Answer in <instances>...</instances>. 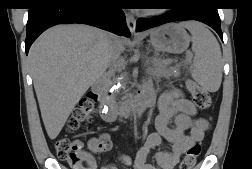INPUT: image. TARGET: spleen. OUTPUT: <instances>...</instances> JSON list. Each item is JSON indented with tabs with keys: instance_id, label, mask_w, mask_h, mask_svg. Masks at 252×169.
<instances>
[{
	"instance_id": "spleen-1",
	"label": "spleen",
	"mask_w": 252,
	"mask_h": 169,
	"mask_svg": "<svg viewBox=\"0 0 252 169\" xmlns=\"http://www.w3.org/2000/svg\"><path fill=\"white\" fill-rule=\"evenodd\" d=\"M191 33L193 63L190 66L192 78L205 90L216 92L222 82V54L215 36L201 23L181 24Z\"/></svg>"
}]
</instances>
